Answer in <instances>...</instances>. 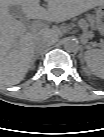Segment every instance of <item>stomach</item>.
I'll use <instances>...</instances> for the list:
<instances>
[{
  "label": "stomach",
  "mask_w": 104,
  "mask_h": 137,
  "mask_svg": "<svg viewBox=\"0 0 104 137\" xmlns=\"http://www.w3.org/2000/svg\"><path fill=\"white\" fill-rule=\"evenodd\" d=\"M102 8H103V5H100V6H98V8L96 9V16H97L98 18L102 17V15H103V10H102ZM84 37L87 38L86 35H84Z\"/></svg>",
  "instance_id": "1"
}]
</instances>
